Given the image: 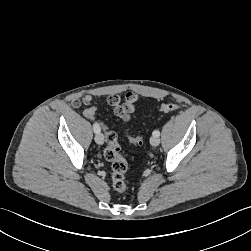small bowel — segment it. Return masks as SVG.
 <instances>
[{"label":"small bowel","mask_w":251,"mask_h":251,"mask_svg":"<svg viewBox=\"0 0 251 251\" xmlns=\"http://www.w3.org/2000/svg\"><path fill=\"white\" fill-rule=\"evenodd\" d=\"M138 99H139L138 95L134 92L126 93L123 102L121 101V98L119 95L112 94L108 96L107 103L111 107H113V110L116 116H118L123 121H129L133 113L135 112L136 102L138 101ZM90 102H91V96L85 95L81 99L73 100L70 103V106L73 109L80 111L86 104H89ZM93 107L97 111V107L96 106H93Z\"/></svg>","instance_id":"small-bowel-1"}]
</instances>
